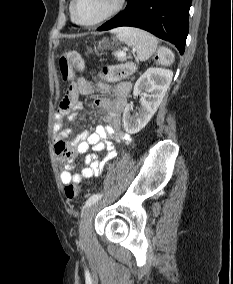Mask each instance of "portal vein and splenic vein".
<instances>
[{
  "instance_id": "portal-vein-and-splenic-vein-1",
  "label": "portal vein and splenic vein",
  "mask_w": 233,
  "mask_h": 284,
  "mask_svg": "<svg viewBox=\"0 0 233 284\" xmlns=\"http://www.w3.org/2000/svg\"><path fill=\"white\" fill-rule=\"evenodd\" d=\"M121 55H122V56H125L126 54H125V53H122ZM122 56H119V55H118L119 58H123Z\"/></svg>"
}]
</instances>
